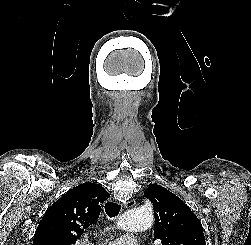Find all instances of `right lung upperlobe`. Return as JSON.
<instances>
[{
	"label": "right lung upper lobe",
	"instance_id": "right-lung-upper-lobe-1",
	"mask_svg": "<svg viewBox=\"0 0 251 245\" xmlns=\"http://www.w3.org/2000/svg\"><path fill=\"white\" fill-rule=\"evenodd\" d=\"M110 195L100 185L86 182L64 194L45 212L33 245H72L97 221L101 204Z\"/></svg>",
	"mask_w": 251,
	"mask_h": 245
}]
</instances>
